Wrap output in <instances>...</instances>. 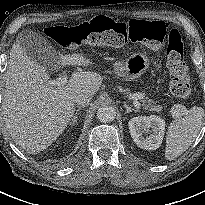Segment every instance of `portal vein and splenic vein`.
I'll use <instances>...</instances> for the list:
<instances>
[{"instance_id":"obj_1","label":"portal vein and splenic vein","mask_w":205,"mask_h":205,"mask_svg":"<svg viewBox=\"0 0 205 205\" xmlns=\"http://www.w3.org/2000/svg\"><path fill=\"white\" fill-rule=\"evenodd\" d=\"M67 82H68L67 73L64 72L58 79L50 80L48 83L51 86H63V85H66ZM133 104L137 109H140L141 105L137 101V99L134 100Z\"/></svg>"}]
</instances>
